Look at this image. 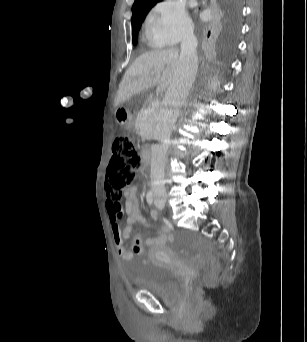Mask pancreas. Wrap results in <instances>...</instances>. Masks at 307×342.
<instances>
[{
	"label": "pancreas",
	"mask_w": 307,
	"mask_h": 342,
	"mask_svg": "<svg viewBox=\"0 0 307 342\" xmlns=\"http://www.w3.org/2000/svg\"><path fill=\"white\" fill-rule=\"evenodd\" d=\"M156 120V114H152L148 116L145 112H139L136 120H135V128L139 130L143 136H146V140L151 138L154 130H153V122Z\"/></svg>",
	"instance_id": "pancreas-1"
}]
</instances>
